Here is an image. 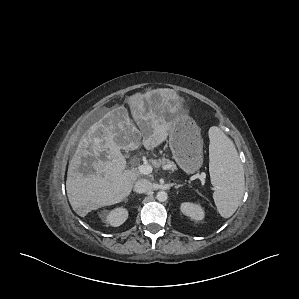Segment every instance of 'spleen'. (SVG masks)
<instances>
[{"label":"spleen","instance_id":"obj_1","mask_svg":"<svg viewBox=\"0 0 299 299\" xmlns=\"http://www.w3.org/2000/svg\"><path fill=\"white\" fill-rule=\"evenodd\" d=\"M209 172L215 188L213 199L223 218L231 217L244 194L242 163L233 142L218 127L209 129Z\"/></svg>","mask_w":299,"mask_h":299}]
</instances>
